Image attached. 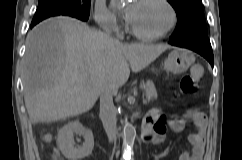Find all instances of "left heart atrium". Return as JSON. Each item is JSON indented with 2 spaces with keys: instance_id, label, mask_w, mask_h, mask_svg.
<instances>
[{
  "instance_id": "39dd6f15",
  "label": "left heart atrium",
  "mask_w": 242,
  "mask_h": 160,
  "mask_svg": "<svg viewBox=\"0 0 242 160\" xmlns=\"http://www.w3.org/2000/svg\"><path fill=\"white\" fill-rule=\"evenodd\" d=\"M135 3V2H134ZM134 3L132 4H127L122 10L123 13L125 14V17L129 20L132 17L133 11H134ZM114 5L117 8H120V2L119 1H115Z\"/></svg>"
}]
</instances>
